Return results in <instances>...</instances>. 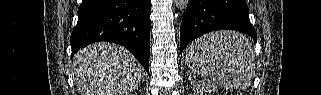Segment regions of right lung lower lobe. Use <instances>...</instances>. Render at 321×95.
Masks as SVG:
<instances>
[{"instance_id":"right-lung-lower-lobe-1","label":"right lung lower lobe","mask_w":321,"mask_h":95,"mask_svg":"<svg viewBox=\"0 0 321 95\" xmlns=\"http://www.w3.org/2000/svg\"><path fill=\"white\" fill-rule=\"evenodd\" d=\"M151 0H83L71 34L72 56L93 42L126 47L149 73Z\"/></svg>"}]
</instances>
